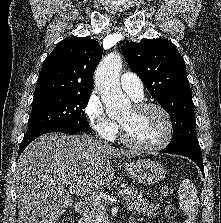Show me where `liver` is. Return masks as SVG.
<instances>
[{
	"label": "liver",
	"instance_id": "obj_1",
	"mask_svg": "<svg viewBox=\"0 0 221 223\" xmlns=\"http://www.w3.org/2000/svg\"><path fill=\"white\" fill-rule=\"evenodd\" d=\"M132 150L117 149L86 134H45L18 159L15 184L19 223H56L73 204L65 190L106 188L115 176L111 158H131Z\"/></svg>",
	"mask_w": 221,
	"mask_h": 223
}]
</instances>
